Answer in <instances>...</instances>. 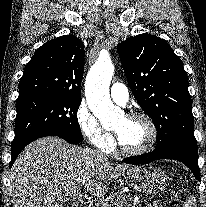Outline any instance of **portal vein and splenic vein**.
Instances as JSON below:
<instances>
[{
    "mask_svg": "<svg viewBox=\"0 0 206 207\" xmlns=\"http://www.w3.org/2000/svg\"><path fill=\"white\" fill-rule=\"evenodd\" d=\"M65 196L66 197H71L73 199H78V200H81L82 197H83L81 192H80V188H76V189L71 190V191H66ZM123 202H126V200L123 199Z\"/></svg>",
    "mask_w": 206,
    "mask_h": 207,
    "instance_id": "18ae733b",
    "label": "portal vein and splenic vein"
}]
</instances>
